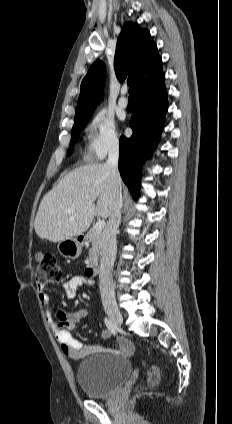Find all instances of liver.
<instances>
[{
    "mask_svg": "<svg viewBox=\"0 0 232 424\" xmlns=\"http://www.w3.org/2000/svg\"><path fill=\"white\" fill-rule=\"evenodd\" d=\"M113 193L106 164L85 165L70 171L43 197L34 222L36 234L53 243L83 234L95 216H111Z\"/></svg>",
    "mask_w": 232,
    "mask_h": 424,
    "instance_id": "liver-1",
    "label": "liver"
}]
</instances>
